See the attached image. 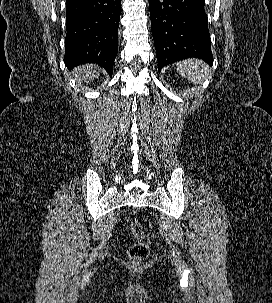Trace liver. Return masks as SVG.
<instances>
[{
  "label": "liver",
  "mask_w": 272,
  "mask_h": 303,
  "mask_svg": "<svg viewBox=\"0 0 272 303\" xmlns=\"http://www.w3.org/2000/svg\"><path fill=\"white\" fill-rule=\"evenodd\" d=\"M101 72V68L95 64L81 65L73 70L77 80L89 82L96 79Z\"/></svg>",
  "instance_id": "liver-1"
}]
</instances>
